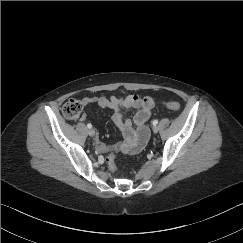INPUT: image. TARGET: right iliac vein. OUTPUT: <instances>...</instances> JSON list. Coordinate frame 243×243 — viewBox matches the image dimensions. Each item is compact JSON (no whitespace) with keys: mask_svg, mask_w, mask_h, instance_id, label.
I'll return each instance as SVG.
<instances>
[{"mask_svg":"<svg viewBox=\"0 0 243 243\" xmlns=\"http://www.w3.org/2000/svg\"><path fill=\"white\" fill-rule=\"evenodd\" d=\"M88 134H89V136H94L95 135V130L94 129H90L88 131Z\"/></svg>","mask_w":243,"mask_h":243,"instance_id":"obj_1","label":"right iliac vein"}]
</instances>
